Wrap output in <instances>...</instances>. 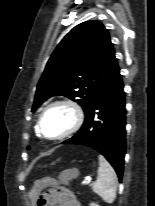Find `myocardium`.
I'll return each instance as SVG.
<instances>
[{"label":"myocardium","mask_w":155,"mask_h":206,"mask_svg":"<svg viewBox=\"0 0 155 206\" xmlns=\"http://www.w3.org/2000/svg\"><path fill=\"white\" fill-rule=\"evenodd\" d=\"M66 108L70 114H71V123L68 126V128L62 132L60 135L54 136V137H48L44 135L42 131V122L44 116L52 109L55 108ZM85 120V113L78 101L72 98H61L58 100H55L51 102L49 105H47L41 114L39 115L38 122H37V133L40 137L51 140V141H61L64 140L65 138L75 134L83 125Z\"/></svg>","instance_id":"f54148a6"}]
</instances>
